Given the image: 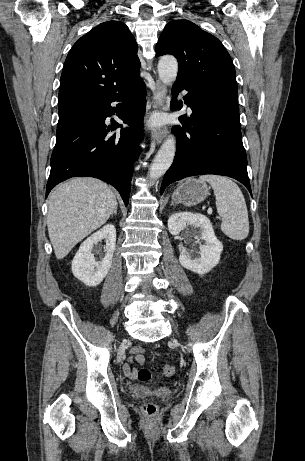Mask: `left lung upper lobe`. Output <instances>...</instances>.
Instances as JSON below:
<instances>
[{"label":"left lung upper lobe","instance_id":"1","mask_svg":"<svg viewBox=\"0 0 305 461\" xmlns=\"http://www.w3.org/2000/svg\"><path fill=\"white\" fill-rule=\"evenodd\" d=\"M156 53L159 56L172 54L177 58L178 83L237 88L235 68L223 44L188 20H174L165 26Z\"/></svg>","mask_w":305,"mask_h":461}]
</instances>
